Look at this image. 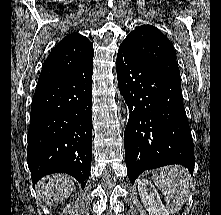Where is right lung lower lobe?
Wrapping results in <instances>:
<instances>
[{"mask_svg":"<svg viewBox=\"0 0 221 215\" xmlns=\"http://www.w3.org/2000/svg\"><path fill=\"white\" fill-rule=\"evenodd\" d=\"M92 73L93 59L69 75L37 85L27 149L33 184L62 172L85 186L92 156Z\"/></svg>","mask_w":221,"mask_h":215,"instance_id":"obj_1","label":"right lung lower lobe"}]
</instances>
